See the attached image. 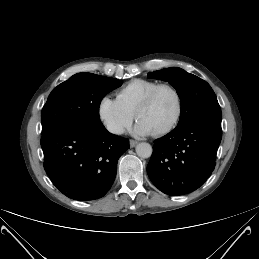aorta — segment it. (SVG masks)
Masks as SVG:
<instances>
[{"mask_svg": "<svg viewBox=\"0 0 259 259\" xmlns=\"http://www.w3.org/2000/svg\"><path fill=\"white\" fill-rule=\"evenodd\" d=\"M136 154L140 158H149L152 155V146L149 143L142 142L139 143L136 148Z\"/></svg>", "mask_w": 259, "mask_h": 259, "instance_id": "aorta-1", "label": "aorta"}]
</instances>
